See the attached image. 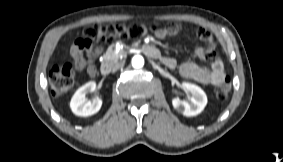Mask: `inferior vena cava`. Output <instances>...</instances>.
<instances>
[{
    "label": "inferior vena cava",
    "mask_w": 283,
    "mask_h": 162,
    "mask_svg": "<svg viewBox=\"0 0 283 162\" xmlns=\"http://www.w3.org/2000/svg\"><path fill=\"white\" fill-rule=\"evenodd\" d=\"M123 67V63H116L113 67H112V72H116L117 70L121 69Z\"/></svg>",
    "instance_id": "602c4592"
}]
</instances>
